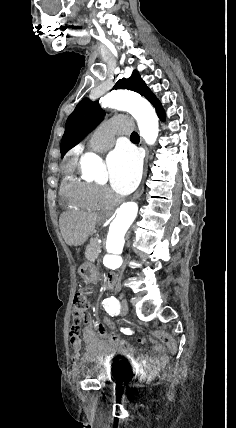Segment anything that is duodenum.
I'll use <instances>...</instances> for the list:
<instances>
[{
	"label": "duodenum",
	"mask_w": 236,
	"mask_h": 428,
	"mask_svg": "<svg viewBox=\"0 0 236 428\" xmlns=\"http://www.w3.org/2000/svg\"><path fill=\"white\" fill-rule=\"evenodd\" d=\"M117 282V275L115 273H108L105 277V283L107 288L115 287Z\"/></svg>",
	"instance_id": "duodenum-1"
}]
</instances>
